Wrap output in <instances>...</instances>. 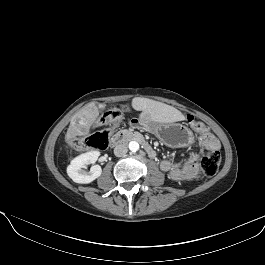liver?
Here are the masks:
<instances>
[{"instance_id": "1", "label": "liver", "mask_w": 265, "mask_h": 265, "mask_svg": "<svg viewBox=\"0 0 265 265\" xmlns=\"http://www.w3.org/2000/svg\"><path fill=\"white\" fill-rule=\"evenodd\" d=\"M132 107L137 111H142L140 119L157 123H174L185 120V116L176 108L148 98H133ZM98 116L99 110L96 104L94 102L86 104L72 117L67 137L87 135Z\"/></svg>"}]
</instances>
